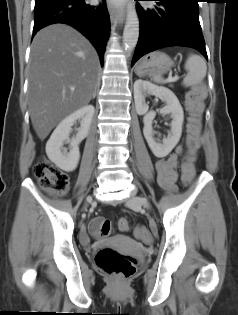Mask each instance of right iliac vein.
<instances>
[{
	"instance_id": "right-iliac-vein-1",
	"label": "right iliac vein",
	"mask_w": 238,
	"mask_h": 315,
	"mask_svg": "<svg viewBox=\"0 0 238 315\" xmlns=\"http://www.w3.org/2000/svg\"><path fill=\"white\" fill-rule=\"evenodd\" d=\"M88 201H91V197H88V199H87Z\"/></svg>"
}]
</instances>
